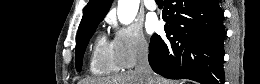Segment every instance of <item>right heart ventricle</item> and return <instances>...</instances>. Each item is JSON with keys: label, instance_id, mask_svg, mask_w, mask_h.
Here are the masks:
<instances>
[{"label": "right heart ventricle", "instance_id": "obj_1", "mask_svg": "<svg viewBox=\"0 0 260 84\" xmlns=\"http://www.w3.org/2000/svg\"><path fill=\"white\" fill-rule=\"evenodd\" d=\"M90 72L93 75H106L119 70L113 56L111 43L100 36L96 39L90 56Z\"/></svg>", "mask_w": 260, "mask_h": 84}]
</instances>
